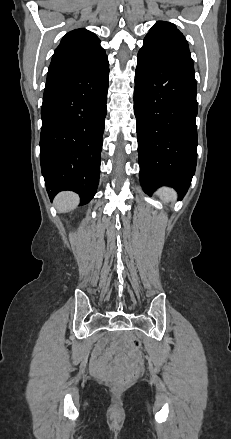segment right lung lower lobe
I'll return each mask as SVG.
<instances>
[{"label":"right lung lower lobe","instance_id":"98d812e1","mask_svg":"<svg viewBox=\"0 0 231 439\" xmlns=\"http://www.w3.org/2000/svg\"><path fill=\"white\" fill-rule=\"evenodd\" d=\"M109 63L46 82L41 109L40 163L51 199L60 191L96 194L105 127Z\"/></svg>","mask_w":231,"mask_h":439}]
</instances>
